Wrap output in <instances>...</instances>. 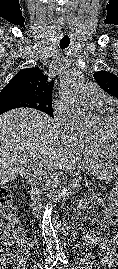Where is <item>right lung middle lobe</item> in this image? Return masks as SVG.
<instances>
[{
    "instance_id": "1",
    "label": "right lung middle lobe",
    "mask_w": 118,
    "mask_h": 269,
    "mask_svg": "<svg viewBox=\"0 0 118 269\" xmlns=\"http://www.w3.org/2000/svg\"><path fill=\"white\" fill-rule=\"evenodd\" d=\"M20 107L34 108L53 117L52 104H42L27 96L15 93L0 96V115L8 110Z\"/></svg>"
}]
</instances>
